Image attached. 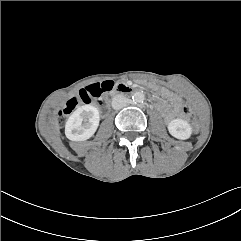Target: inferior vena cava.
I'll return each instance as SVG.
<instances>
[{
  "instance_id": "602c4592",
  "label": "inferior vena cava",
  "mask_w": 241,
  "mask_h": 241,
  "mask_svg": "<svg viewBox=\"0 0 241 241\" xmlns=\"http://www.w3.org/2000/svg\"><path fill=\"white\" fill-rule=\"evenodd\" d=\"M128 103V99L123 95H116L112 99V108L119 110L125 107Z\"/></svg>"
}]
</instances>
